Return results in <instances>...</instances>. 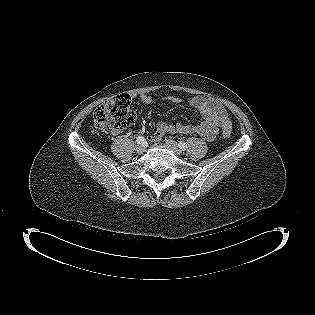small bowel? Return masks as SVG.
<instances>
[{
  "label": "small bowel",
  "mask_w": 315,
  "mask_h": 315,
  "mask_svg": "<svg viewBox=\"0 0 315 315\" xmlns=\"http://www.w3.org/2000/svg\"><path fill=\"white\" fill-rule=\"evenodd\" d=\"M164 99L179 104L181 99L177 96H166ZM140 101L143 104H150L152 97L148 94H141ZM189 105L200 111L202 120L198 124H186L178 122L170 124L167 122H159L157 130L149 137L151 142H158L166 133H181V134H197L202 138L211 141L218 134L219 128L229 127L231 129V121L222 107V105L211 97L205 95L194 96L189 100ZM114 130V133H117Z\"/></svg>",
  "instance_id": "obj_1"
}]
</instances>
